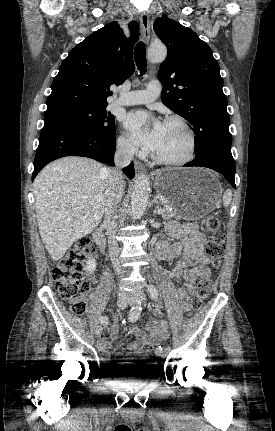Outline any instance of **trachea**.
Instances as JSON below:
<instances>
[{
    "label": "trachea",
    "mask_w": 275,
    "mask_h": 431,
    "mask_svg": "<svg viewBox=\"0 0 275 431\" xmlns=\"http://www.w3.org/2000/svg\"><path fill=\"white\" fill-rule=\"evenodd\" d=\"M134 59L136 62L137 69L140 71V75H144L146 73V49L145 44L143 42H139L134 50Z\"/></svg>",
    "instance_id": "obj_1"
}]
</instances>
